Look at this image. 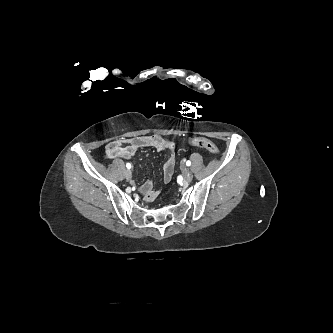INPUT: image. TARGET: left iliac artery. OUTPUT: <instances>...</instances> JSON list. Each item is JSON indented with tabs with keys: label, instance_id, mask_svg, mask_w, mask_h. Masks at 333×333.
Returning <instances> with one entry per match:
<instances>
[{
	"label": "left iliac artery",
	"instance_id": "44dca946",
	"mask_svg": "<svg viewBox=\"0 0 333 333\" xmlns=\"http://www.w3.org/2000/svg\"><path fill=\"white\" fill-rule=\"evenodd\" d=\"M186 165H187V166H190V165H191V161L188 160V161L186 162Z\"/></svg>",
	"mask_w": 333,
	"mask_h": 333
}]
</instances>
